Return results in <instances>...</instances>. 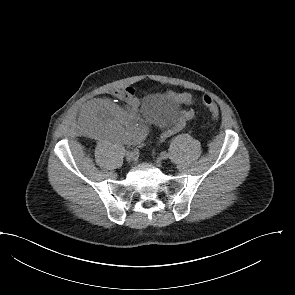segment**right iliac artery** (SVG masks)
Wrapping results in <instances>:
<instances>
[{
	"instance_id": "right-iliac-artery-1",
	"label": "right iliac artery",
	"mask_w": 295,
	"mask_h": 295,
	"mask_svg": "<svg viewBox=\"0 0 295 295\" xmlns=\"http://www.w3.org/2000/svg\"><path fill=\"white\" fill-rule=\"evenodd\" d=\"M133 153H134L135 155H140V154H141V149H140V148H135V149L133 150Z\"/></svg>"
}]
</instances>
